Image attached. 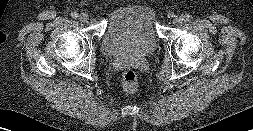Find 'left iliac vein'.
<instances>
[{"label": "left iliac vein", "mask_w": 253, "mask_h": 131, "mask_svg": "<svg viewBox=\"0 0 253 131\" xmlns=\"http://www.w3.org/2000/svg\"><path fill=\"white\" fill-rule=\"evenodd\" d=\"M182 21H183L182 17H176L173 19V24L178 25V24H181Z\"/></svg>", "instance_id": "obj_1"}]
</instances>
